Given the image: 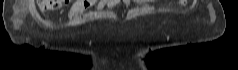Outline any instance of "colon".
I'll use <instances>...</instances> for the list:
<instances>
[{"label":"colon","instance_id":"obj_1","mask_svg":"<svg viewBox=\"0 0 238 70\" xmlns=\"http://www.w3.org/2000/svg\"><path fill=\"white\" fill-rule=\"evenodd\" d=\"M69 0H39L38 5L40 10H56L58 9L62 3H67Z\"/></svg>","mask_w":238,"mask_h":70}]
</instances>
